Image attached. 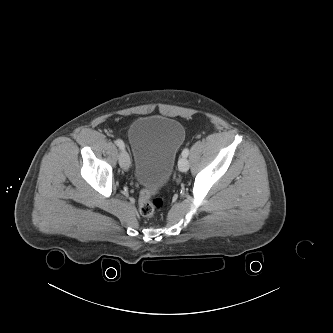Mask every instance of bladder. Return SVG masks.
I'll use <instances>...</instances> for the list:
<instances>
[{
  "label": "bladder",
  "mask_w": 333,
  "mask_h": 333,
  "mask_svg": "<svg viewBox=\"0 0 333 333\" xmlns=\"http://www.w3.org/2000/svg\"><path fill=\"white\" fill-rule=\"evenodd\" d=\"M128 139L137 181L147 187L166 184L185 140L182 123L163 116L141 117L131 124Z\"/></svg>",
  "instance_id": "1"
}]
</instances>
